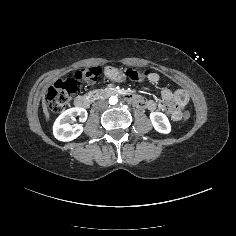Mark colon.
Wrapping results in <instances>:
<instances>
[{
  "label": "colon",
  "instance_id": "5ec220e1",
  "mask_svg": "<svg viewBox=\"0 0 236 236\" xmlns=\"http://www.w3.org/2000/svg\"><path fill=\"white\" fill-rule=\"evenodd\" d=\"M99 67L81 69L75 72L74 77L66 80L56 81L48 90L46 102L49 109L54 113L62 112L71 99L77 95L80 82H94L100 74ZM127 76L134 82L140 83L147 79H152L153 75L147 69H128ZM183 120L190 118V112L186 110L182 116Z\"/></svg>",
  "mask_w": 236,
  "mask_h": 236
}]
</instances>
